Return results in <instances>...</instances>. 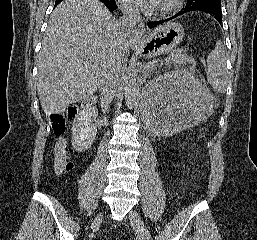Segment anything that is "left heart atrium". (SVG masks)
<instances>
[{
    "label": "left heart atrium",
    "instance_id": "39dd6f15",
    "mask_svg": "<svg viewBox=\"0 0 257 240\" xmlns=\"http://www.w3.org/2000/svg\"><path fill=\"white\" fill-rule=\"evenodd\" d=\"M136 4L144 10L151 11L156 9L161 0H134Z\"/></svg>",
    "mask_w": 257,
    "mask_h": 240
}]
</instances>
